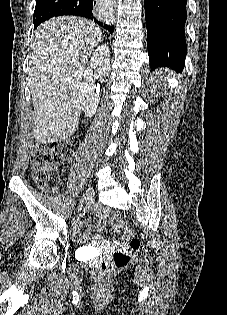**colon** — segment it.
I'll return each instance as SVG.
<instances>
[{"mask_svg":"<svg viewBox=\"0 0 227 315\" xmlns=\"http://www.w3.org/2000/svg\"><path fill=\"white\" fill-rule=\"evenodd\" d=\"M79 143L77 137H69L50 144H34L31 161L35 183L40 187H45L51 174L71 160L79 147ZM111 225L116 233L123 234L129 239V248L117 251L110 259L101 261L97 266V271L101 275H107L115 269L128 265L140 247L139 239L122 219L112 218Z\"/></svg>","mask_w":227,"mask_h":315,"instance_id":"colon-1","label":"colon"}]
</instances>
